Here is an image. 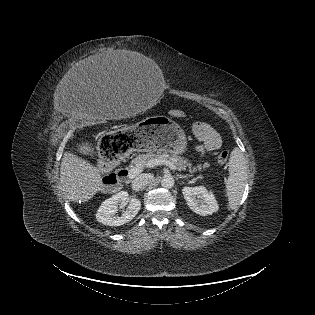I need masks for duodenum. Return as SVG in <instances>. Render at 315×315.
<instances>
[{
    "label": "duodenum",
    "mask_w": 315,
    "mask_h": 315,
    "mask_svg": "<svg viewBox=\"0 0 315 315\" xmlns=\"http://www.w3.org/2000/svg\"><path fill=\"white\" fill-rule=\"evenodd\" d=\"M127 176H128V171L126 169H120L116 174V178L118 182L124 180L125 178H127Z\"/></svg>",
    "instance_id": "obj_1"
}]
</instances>
